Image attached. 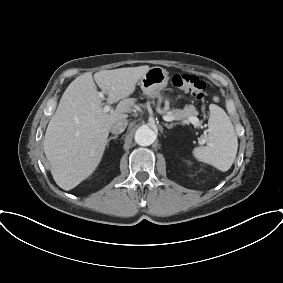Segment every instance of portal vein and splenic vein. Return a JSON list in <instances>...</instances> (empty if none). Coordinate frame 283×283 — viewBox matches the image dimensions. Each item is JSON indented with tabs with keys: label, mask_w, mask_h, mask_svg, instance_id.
<instances>
[{
	"label": "portal vein and splenic vein",
	"mask_w": 283,
	"mask_h": 283,
	"mask_svg": "<svg viewBox=\"0 0 283 283\" xmlns=\"http://www.w3.org/2000/svg\"><path fill=\"white\" fill-rule=\"evenodd\" d=\"M98 95H99V97H100L101 99H104V92H103V91H102V92H99ZM110 110H111V108H110L109 105H105V106H104V111H105V112H109ZM163 118H164L165 121H168V122L175 120V118H174L173 116H167V115H166V116H164ZM187 122H190V123L193 124L194 126H198V124H199L198 118H197V117H194V116L189 117L188 120H187Z\"/></svg>",
	"instance_id": "18ae733b"
}]
</instances>
